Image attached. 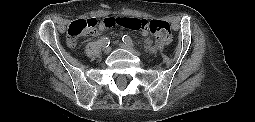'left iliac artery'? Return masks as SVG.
I'll list each match as a JSON object with an SVG mask.
<instances>
[{
  "instance_id": "obj_1",
  "label": "left iliac artery",
  "mask_w": 255,
  "mask_h": 122,
  "mask_svg": "<svg viewBox=\"0 0 255 122\" xmlns=\"http://www.w3.org/2000/svg\"><path fill=\"white\" fill-rule=\"evenodd\" d=\"M122 41H123L125 44H127V45H129V46L135 48V45H134L132 39H131L128 35H124V36L122 37Z\"/></svg>"
}]
</instances>
